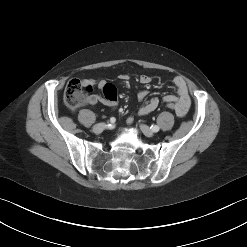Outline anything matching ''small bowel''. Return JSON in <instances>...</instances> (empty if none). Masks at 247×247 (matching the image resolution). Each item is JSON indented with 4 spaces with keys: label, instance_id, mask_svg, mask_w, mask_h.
<instances>
[{
    "label": "small bowel",
    "instance_id": "small-bowel-1",
    "mask_svg": "<svg viewBox=\"0 0 247 247\" xmlns=\"http://www.w3.org/2000/svg\"><path fill=\"white\" fill-rule=\"evenodd\" d=\"M121 80H127L128 76L127 75H121L120 76ZM140 82L142 84H148L151 82V77L148 75H142L140 76ZM173 83L176 87V95H166L163 97L164 102H174L177 106L176 109V114L179 117H183L187 114L191 100L189 96V91H188V86L186 81L184 80L183 77L181 76H176L173 79ZM82 84L88 88V89H93V88H98L102 91L101 95L97 94H90L86 98V102L89 106H95L98 103H102L106 106L109 107H116L117 106V90L116 87L107 82L106 80H94V79H84L82 81ZM148 95L147 90H141L138 93V99L139 101H144L145 98ZM158 106V100L156 98H151L147 101H145L140 108L138 109V115L140 116H145L153 112ZM133 122V117L130 116L128 118V123L131 124Z\"/></svg>",
    "mask_w": 247,
    "mask_h": 247
}]
</instances>
